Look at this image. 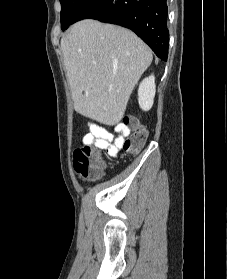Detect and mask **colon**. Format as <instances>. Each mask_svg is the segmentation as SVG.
Returning a JSON list of instances; mask_svg holds the SVG:
<instances>
[{
  "mask_svg": "<svg viewBox=\"0 0 227 279\" xmlns=\"http://www.w3.org/2000/svg\"><path fill=\"white\" fill-rule=\"evenodd\" d=\"M124 124L132 128L130 138L124 142V150L127 154L134 155L140 152L147 140V131L137 119L125 117ZM93 139L86 135L83 143L74 152L73 164L78 174L85 179L97 178L104 167V161L99 152L91 147Z\"/></svg>",
  "mask_w": 227,
  "mask_h": 279,
  "instance_id": "1",
  "label": "colon"
}]
</instances>
